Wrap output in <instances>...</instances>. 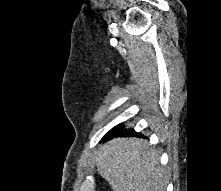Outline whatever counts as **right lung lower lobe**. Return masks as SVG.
Masks as SVG:
<instances>
[{
	"instance_id": "right-lung-lower-lobe-1",
	"label": "right lung lower lobe",
	"mask_w": 221,
	"mask_h": 191,
	"mask_svg": "<svg viewBox=\"0 0 221 191\" xmlns=\"http://www.w3.org/2000/svg\"><path fill=\"white\" fill-rule=\"evenodd\" d=\"M116 136H136V137H140L142 136L139 133H136L133 129H129V130H124L123 129V125L119 124L117 126H115L113 129H111L108 133H106V135L103 137L102 142L109 140L113 137ZM144 137V136H142Z\"/></svg>"
}]
</instances>
